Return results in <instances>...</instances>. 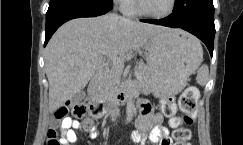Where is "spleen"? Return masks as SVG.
Segmentation results:
<instances>
[{"label":"spleen","mask_w":243,"mask_h":145,"mask_svg":"<svg viewBox=\"0 0 243 145\" xmlns=\"http://www.w3.org/2000/svg\"><path fill=\"white\" fill-rule=\"evenodd\" d=\"M203 57V52L202 49L199 51V59H198V66L200 65ZM209 77V69L207 65H202L198 71H197V76H196V82L201 85L205 86Z\"/></svg>","instance_id":"obj_1"}]
</instances>
